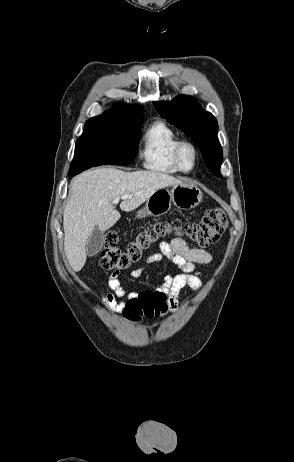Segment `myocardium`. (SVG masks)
Here are the masks:
<instances>
[{"instance_id":"f54148a6","label":"myocardium","mask_w":294,"mask_h":462,"mask_svg":"<svg viewBox=\"0 0 294 462\" xmlns=\"http://www.w3.org/2000/svg\"><path fill=\"white\" fill-rule=\"evenodd\" d=\"M185 147L189 148L193 153V164H192V166L190 168H185L182 165V161H181L182 150ZM198 158H199L198 150H197L196 146L192 142L182 140V141H179L175 145L174 151H173V161H174L176 167L179 169V171L185 172V173L193 171L197 166Z\"/></svg>"}]
</instances>
